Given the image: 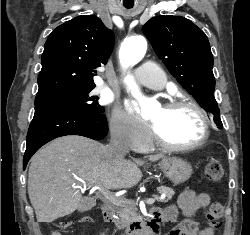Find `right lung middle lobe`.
Segmentation results:
<instances>
[{"label":"right lung middle lobe","mask_w":250,"mask_h":235,"mask_svg":"<svg viewBox=\"0 0 250 235\" xmlns=\"http://www.w3.org/2000/svg\"><path fill=\"white\" fill-rule=\"evenodd\" d=\"M95 85L78 90L50 94L35 99V107L39 105L68 107L81 109L91 114H103L104 108L98 104V97L91 91Z\"/></svg>","instance_id":"dd1d6c3e"}]
</instances>
